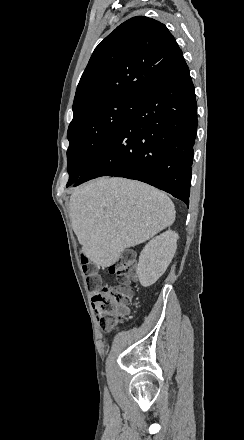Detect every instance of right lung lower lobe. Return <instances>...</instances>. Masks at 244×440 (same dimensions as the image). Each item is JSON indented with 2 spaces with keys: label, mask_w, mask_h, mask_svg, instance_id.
<instances>
[{
  "label": "right lung lower lobe",
  "mask_w": 244,
  "mask_h": 440,
  "mask_svg": "<svg viewBox=\"0 0 244 440\" xmlns=\"http://www.w3.org/2000/svg\"><path fill=\"white\" fill-rule=\"evenodd\" d=\"M196 129L195 91L184 62L145 92L74 186L100 176L124 177L148 183L189 205Z\"/></svg>",
  "instance_id": "98d812e1"
}]
</instances>
